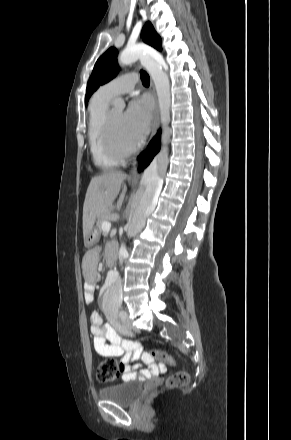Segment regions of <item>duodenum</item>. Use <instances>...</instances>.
I'll return each mask as SVG.
<instances>
[{
	"label": "duodenum",
	"instance_id": "duodenum-1",
	"mask_svg": "<svg viewBox=\"0 0 291 440\" xmlns=\"http://www.w3.org/2000/svg\"><path fill=\"white\" fill-rule=\"evenodd\" d=\"M106 261L110 269H112L116 263V251L110 249L105 255Z\"/></svg>",
	"mask_w": 291,
	"mask_h": 440
}]
</instances>
